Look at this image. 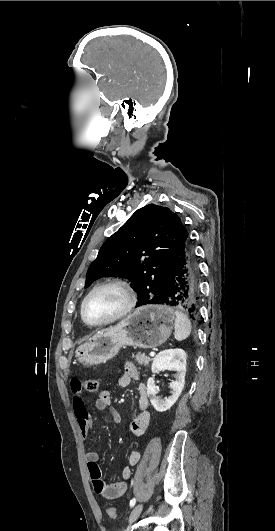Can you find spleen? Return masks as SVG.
Instances as JSON below:
<instances>
[{"label":"spleen","mask_w":275,"mask_h":531,"mask_svg":"<svg viewBox=\"0 0 275 531\" xmlns=\"http://www.w3.org/2000/svg\"><path fill=\"white\" fill-rule=\"evenodd\" d=\"M175 315V333L174 337L176 341H184L191 335L192 327L191 321H189L187 315L182 311H174Z\"/></svg>","instance_id":"3e777b00"}]
</instances>
